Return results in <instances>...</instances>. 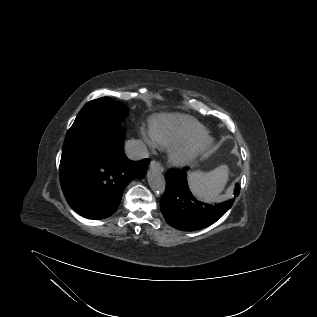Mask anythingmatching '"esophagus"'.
<instances>
[{"instance_id": "esophagus-1", "label": "esophagus", "mask_w": 317, "mask_h": 317, "mask_svg": "<svg viewBox=\"0 0 317 317\" xmlns=\"http://www.w3.org/2000/svg\"><path fill=\"white\" fill-rule=\"evenodd\" d=\"M150 168L155 169V170H157V171H159L161 173L164 171V168L161 165V163L156 161V160L151 161Z\"/></svg>"}]
</instances>
